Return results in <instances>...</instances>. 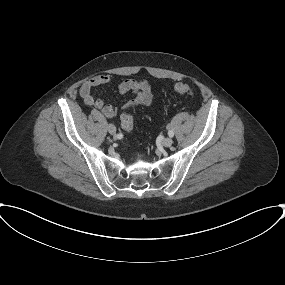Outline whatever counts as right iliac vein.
<instances>
[{"label": "right iliac vein", "mask_w": 285, "mask_h": 285, "mask_svg": "<svg viewBox=\"0 0 285 285\" xmlns=\"http://www.w3.org/2000/svg\"><path fill=\"white\" fill-rule=\"evenodd\" d=\"M107 130L111 135H115L116 134V127L113 124H109L107 126Z\"/></svg>", "instance_id": "1"}]
</instances>
